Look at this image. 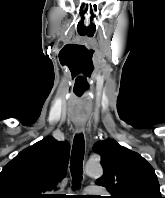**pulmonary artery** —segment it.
<instances>
[{
  "label": "pulmonary artery",
  "mask_w": 165,
  "mask_h": 198,
  "mask_svg": "<svg viewBox=\"0 0 165 198\" xmlns=\"http://www.w3.org/2000/svg\"><path fill=\"white\" fill-rule=\"evenodd\" d=\"M101 187H97V186H89L86 188V192L90 193V192H94L96 190H100Z\"/></svg>",
  "instance_id": "pulmonary-artery-1"
}]
</instances>
